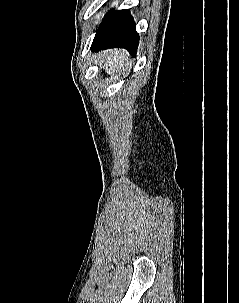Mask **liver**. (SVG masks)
<instances>
[{"instance_id":"liver-1","label":"liver","mask_w":239,"mask_h":303,"mask_svg":"<svg viewBox=\"0 0 239 303\" xmlns=\"http://www.w3.org/2000/svg\"><path fill=\"white\" fill-rule=\"evenodd\" d=\"M107 74L114 75L128 65V53L121 49L107 50L100 53Z\"/></svg>"}]
</instances>
